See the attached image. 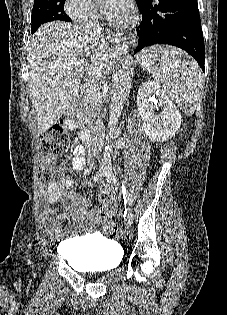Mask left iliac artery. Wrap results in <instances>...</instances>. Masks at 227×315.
<instances>
[{"label": "left iliac artery", "mask_w": 227, "mask_h": 315, "mask_svg": "<svg viewBox=\"0 0 227 315\" xmlns=\"http://www.w3.org/2000/svg\"><path fill=\"white\" fill-rule=\"evenodd\" d=\"M105 177H106L107 182L122 186V192H123L125 205L127 207L132 206V204L134 202V198H133V195L128 193L126 190L127 181L124 179H121V183H120L111 169L106 170Z\"/></svg>", "instance_id": "1"}]
</instances>
